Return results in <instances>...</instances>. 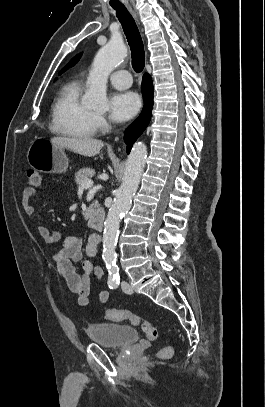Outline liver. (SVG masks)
Here are the masks:
<instances>
[{"label":"liver","mask_w":265,"mask_h":407,"mask_svg":"<svg viewBox=\"0 0 265 407\" xmlns=\"http://www.w3.org/2000/svg\"><path fill=\"white\" fill-rule=\"evenodd\" d=\"M51 143L58 145L62 148L71 149V151L83 156L93 157L100 152L103 147L101 140L93 138H67V137H53Z\"/></svg>","instance_id":"liver-1"}]
</instances>
